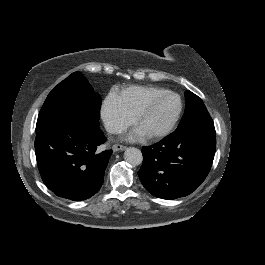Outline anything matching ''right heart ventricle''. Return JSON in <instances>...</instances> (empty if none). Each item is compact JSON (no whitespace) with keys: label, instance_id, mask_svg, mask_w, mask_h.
<instances>
[{"label":"right heart ventricle","instance_id":"e07e8e85","mask_svg":"<svg viewBox=\"0 0 265 265\" xmlns=\"http://www.w3.org/2000/svg\"><path fill=\"white\" fill-rule=\"evenodd\" d=\"M158 89L160 88L153 86H129L116 93L113 98L125 113L135 117L146 99Z\"/></svg>","mask_w":265,"mask_h":265}]
</instances>
